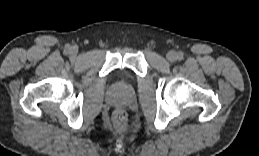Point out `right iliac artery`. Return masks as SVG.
Here are the masks:
<instances>
[{
    "mask_svg": "<svg viewBox=\"0 0 259 156\" xmlns=\"http://www.w3.org/2000/svg\"><path fill=\"white\" fill-rule=\"evenodd\" d=\"M65 52H66V53H68V52H69V47H67V49L65 50Z\"/></svg>",
    "mask_w": 259,
    "mask_h": 156,
    "instance_id": "obj_1",
    "label": "right iliac artery"
}]
</instances>
